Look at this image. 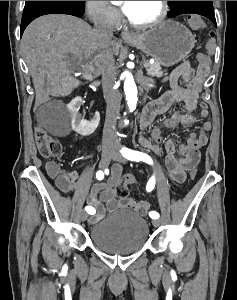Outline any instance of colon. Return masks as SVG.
<instances>
[{
	"label": "colon",
	"mask_w": 237,
	"mask_h": 300,
	"mask_svg": "<svg viewBox=\"0 0 237 300\" xmlns=\"http://www.w3.org/2000/svg\"><path fill=\"white\" fill-rule=\"evenodd\" d=\"M188 23L192 28L201 29L205 27L203 19L196 15L191 14L188 16ZM208 54H200L197 56V61L200 65L204 67H209L211 63V55L216 50V42L211 33V39L208 41ZM36 145L39 153L45 157H56L61 154L62 146L54 139L44 128L38 127L36 130ZM197 170L195 168L190 170V178L194 179L196 177ZM134 183V178L132 176H125L118 183L115 188V195L120 199H124L129 194V186Z\"/></svg>",
	"instance_id": "obj_1"
}]
</instances>
